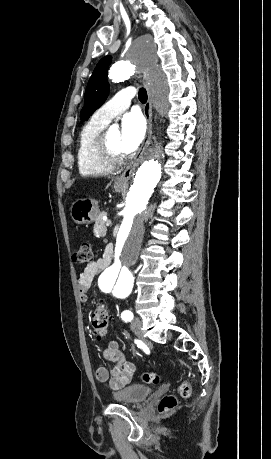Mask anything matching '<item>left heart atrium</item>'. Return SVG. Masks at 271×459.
Returning <instances> with one entry per match:
<instances>
[{
	"label": "left heart atrium",
	"instance_id": "39dd6f15",
	"mask_svg": "<svg viewBox=\"0 0 271 459\" xmlns=\"http://www.w3.org/2000/svg\"><path fill=\"white\" fill-rule=\"evenodd\" d=\"M121 135L123 148L127 152L136 150L146 135V120L139 112H131L122 118Z\"/></svg>",
	"mask_w": 271,
	"mask_h": 459
}]
</instances>
